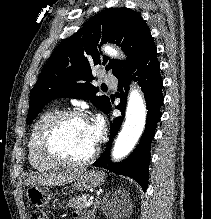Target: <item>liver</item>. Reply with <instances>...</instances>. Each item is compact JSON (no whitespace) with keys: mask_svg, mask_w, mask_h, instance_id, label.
Wrapping results in <instances>:
<instances>
[{"mask_svg":"<svg viewBox=\"0 0 211 219\" xmlns=\"http://www.w3.org/2000/svg\"><path fill=\"white\" fill-rule=\"evenodd\" d=\"M84 170H67L65 172H53L39 174L30 177L27 184L31 186H61L75 181Z\"/></svg>","mask_w":211,"mask_h":219,"instance_id":"liver-1","label":"liver"}]
</instances>
